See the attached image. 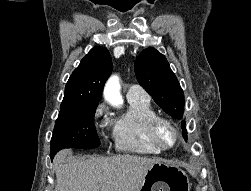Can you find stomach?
Instances as JSON below:
<instances>
[{"instance_id": "obj_1", "label": "stomach", "mask_w": 251, "mask_h": 191, "mask_svg": "<svg viewBox=\"0 0 251 191\" xmlns=\"http://www.w3.org/2000/svg\"><path fill=\"white\" fill-rule=\"evenodd\" d=\"M163 185L166 191H190L189 179L180 167L169 165V163H154L148 169L139 187V191H164L159 189Z\"/></svg>"}]
</instances>
